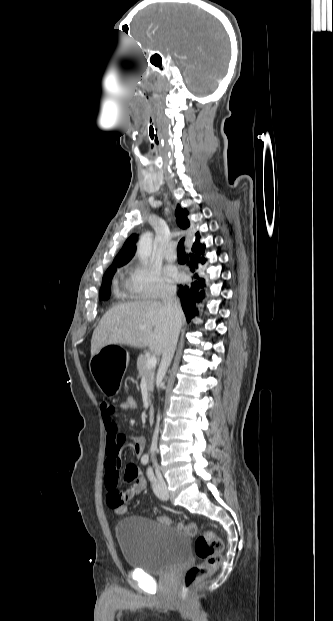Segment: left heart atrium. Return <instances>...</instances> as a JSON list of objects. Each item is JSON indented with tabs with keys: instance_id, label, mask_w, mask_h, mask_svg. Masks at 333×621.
Here are the masks:
<instances>
[{
	"instance_id": "obj_1",
	"label": "left heart atrium",
	"mask_w": 333,
	"mask_h": 621,
	"mask_svg": "<svg viewBox=\"0 0 333 621\" xmlns=\"http://www.w3.org/2000/svg\"><path fill=\"white\" fill-rule=\"evenodd\" d=\"M167 274H168V276L170 278H172L174 280H177L179 278V274H178V272H177V270L175 268H172V267L168 268L167 269Z\"/></svg>"
}]
</instances>
